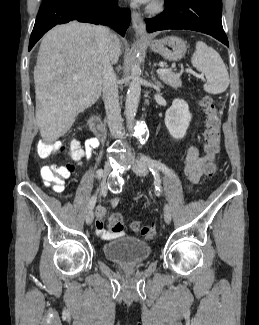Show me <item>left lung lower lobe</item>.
Returning <instances> with one entry per match:
<instances>
[{"mask_svg": "<svg viewBox=\"0 0 259 325\" xmlns=\"http://www.w3.org/2000/svg\"><path fill=\"white\" fill-rule=\"evenodd\" d=\"M165 10L147 19L148 32L165 29H187L206 33L229 46L222 27L221 0H165Z\"/></svg>", "mask_w": 259, "mask_h": 325, "instance_id": "obj_1", "label": "left lung lower lobe"}]
</instances>
